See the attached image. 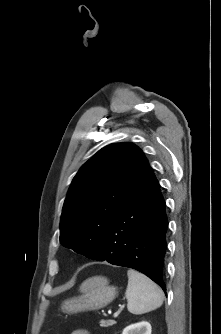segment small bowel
<instances>
[{
  "label": "small bowel",
  "instance_id": "obj_1",
  "mask_svg": "<svg viewBox=\"0 0 221 334\" xmlns=\"http://www.w3.org/2000/svg\"><path fill=\"white\" fill-rule=\"evenodd\" d=\"M71 334H89V333L88 331L84 329H77V330H74Z\"/></svg>",
  "mask_w": 221,
  "mask_h": 334
}]
</instances>
